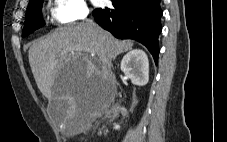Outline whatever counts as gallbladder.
I'll return each instance as SVG.
<instances>
[{"label":"gallbladder","instance_id":"gallbladder-1","mask_svg":"<svg viewBox=\"0 0 227 142\" xmlns=\"http://www.w3.org/2000/svg\"><path fill=\"white\" fill-rule=\"evenodd\" d=\"M69 104L66 100H53L48 106V114L57 123L62 122L68 113Z\"/></svg>","mask_w":227,"mask_h":142}]
</instances>
